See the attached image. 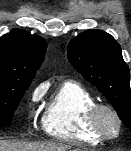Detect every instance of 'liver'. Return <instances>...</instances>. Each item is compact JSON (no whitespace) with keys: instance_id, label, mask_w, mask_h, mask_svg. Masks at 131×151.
Returning a JSON list of instances; mask_svg holds the SVG:
<instances>
[{"instance_id":"1","label":"liver","mask_w":131,"mask_h":151,"mask_svg":"<svg viewBox=\"0 0 131 151\" xmlns=\"http://www.w3.org/2000/svg\"><path fill=\"white\" fill-rule=\"evenodd\" d=\"M71 146L54 143H26V142H10L0 141V151H70Z\"/></svg>"}]
</instances>
